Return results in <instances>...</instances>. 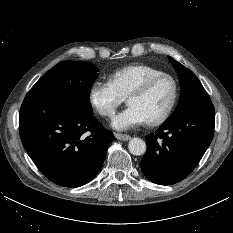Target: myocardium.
<instances>
[{
	"label": "myocardium",
	"mask_w": 233,
	"mask_h": 233,
	"mask_svg": "<svg viewBox=\"0 0 233 233\" xmlns=\"http://www.w3.org/2000/svg\"><path fill=\"white\" fill-rule=\"evenodd\" d=\"M162 79H168L171 82L173 86V94H172V98L166 110L157 118L147 121V124L151 126H156V125H160L164 123L172 114L175 108V105L177 103L178 96H179V86H178L176 79L168 73H160L157 75H153L151 77H148L143 82H141L138 86L132 89L131 92L127 96V102L129 103V100L132 97L145 94L156 82Z\"/></svg>",
	"instance_id": "myocardium-1"
}]
</instances>
